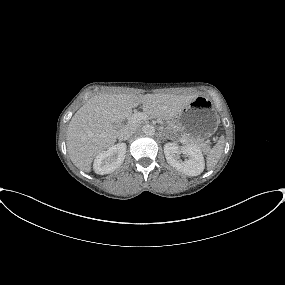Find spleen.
Masks as SVG:
<instances>
[{
    "label": "spleen",
    "mask_w": 285,
    "mask_h": 285,
    "mask_svg": "<svg viewBox=\"0 0 285 285\" xmlns=\"http://www.w3.org/2000/svg\"><path fill=\"white\" fill-rule=\"evenodd\" d=\"M224 136H221L217 144L210 150L206 157L207 168L212 169L220 160L224 149Z\"/></svg>",
    "instance_id": "3e777b00"
}]
</instances>
